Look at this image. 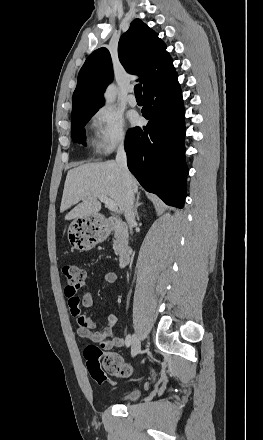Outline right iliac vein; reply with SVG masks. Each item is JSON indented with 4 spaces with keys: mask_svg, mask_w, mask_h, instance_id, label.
Listing matches in <instances>:
<instances>
[{
    "mask_svg": "<svg viewBox=\"0 0 263 440\" xmlns=\"http://www.w3.org/2000/svg\"><path fill=\"white\" fill-rule=\"evenodd\" d=\"M141 349V341L137 334H134L132 337V346H131V356L135 357Z\"/></svg>",
    "mask_w": 263,
    "mask_h": 440,
    "instance_id": "right-iliac-vein-1",
    "label": "right iliac vein"
}]
</instances>
